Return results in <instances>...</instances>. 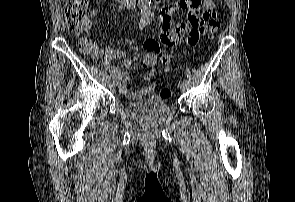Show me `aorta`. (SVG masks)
Wrapping results in <instances>:
<instances>
[{"instance_id":"1","label":"aorta","mask_w":295,"mask_h":202,"mask_svg":"<svg viewBox=\"0 0 295 202\" xmlns=\"http://www.w3.org/2000/svg\"><path fill=\"white\" fill-rule=\"evenodd\" d=\"M140 2V9H141V17L143 19L148 20L150 18V4L151 0H139Z\"/></svg>"}]
</instances>
